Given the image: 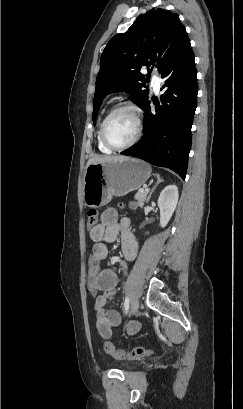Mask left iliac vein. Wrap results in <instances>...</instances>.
Returning <instances> with one entry per match:
<instances>
[{"label":"left iliac vein","instance_id":"left-iliac-vein-1","mask_svg":"<svg viewBox=\"0 0 243 409\" xmlns=\"http://www.w3.org/2000/svg\"><path fill=\"white\" fill-rule=\"evenodd\" d=\"M138 308H139V302H138V300L136 299V300H134V301L131 303V314H132V315L136 314L137 311H138Z\"/></svg>","mask_w":243,"mask_h":409}]
</instances>
